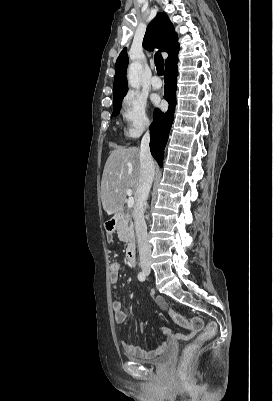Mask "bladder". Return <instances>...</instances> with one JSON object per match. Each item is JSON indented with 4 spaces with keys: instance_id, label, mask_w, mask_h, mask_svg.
<instances>
[{
    "instance_id": "obj_1",
    "label": "bladder",
    "mask_w": 273,
    "mask_h": 401,
    "mask_svg": "<svg viewBox=\"0 0 273 401\" xmlns=\"http://www.w3.org/2000/svg\"><path fill=\"white\" fill-rule=\"evenodd\" d=\"M130 359L133 361H136L140 364H144V365H150V366H154V367H163L171 361L172 352H171V350H167L163 354H161L157 359L152 360V361L140 360V359H137L136 357H130Z\"/></svg>"
}]
</instances>
